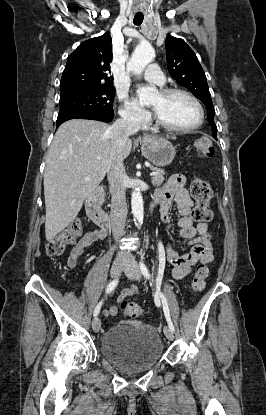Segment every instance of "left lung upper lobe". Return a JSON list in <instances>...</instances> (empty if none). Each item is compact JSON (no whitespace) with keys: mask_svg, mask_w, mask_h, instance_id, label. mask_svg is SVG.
Wrapping results in <instances>:
<instances>
[{"mask_svg":"<svg viewBox=\"0 0 266 415\" xmlns=\"http://www.w3.org/2000/svg\"><path fill=\"white\" fill-rule=\"evenodd\" d=\"M166 58L171 76L206 105L208 120L212 124V136L216 139L215 110L205 73L196 54L183 39L168 36L166 38Z\"/></svg>","mask_w":266,"mask_h":415,"instance_id":"5c2ea615","label":"left lung upper lobe"}]
</instances>
